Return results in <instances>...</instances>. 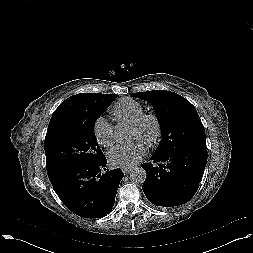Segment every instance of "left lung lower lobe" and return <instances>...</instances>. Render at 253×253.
Masks as SVG:
<instances>
[{"instance_id": "1", "label": "left lung lower lobe", "mask_w": 253, "mask_h": 253, "mask_svg": "<svg viewBox=\"0 0 253 253\" xmlns=\"http://www.w3.org/2000/svg\"><path fill=\"white\" fill-rule=\"evenodd\" d=\"M151 162L144 163L147 177L143 192L156 206L182 205L194 196L207 163L206 148L181 145L162 154L154 153Z\"/></svg>"}]
</instances>
